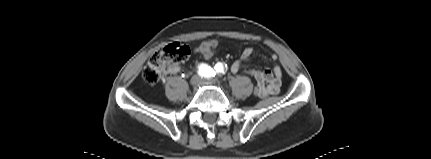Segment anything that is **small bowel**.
I'll use <instances>...</instances> for the list:
<instances>
[{"label": "small bowel", "instance_id": "obj_1", "mask_svg": "<svg viewBox=\"0 0 431 159\" xmlns=\"http://www.w3.org/2000/svg\"><path fill=\"white\" fill-rule=\"evenodd\" d=\"M206 47V48H215L217 49L218 42L216 40H207L199 44L195 47L194 51L197 53L198 47ZM253 49L251 47H248L243 50L241 56L239 59L235 60L231 65V71L233 73H238L241 70H243V65L245 62L249 61L252 57ZM203 55V54H201ZM205 58L209 59L212 56L210 55H203ZM276 57L273 56V59ZM180 70V66L175 65L172 66L168 72L169 73H177ZM244 72L252 76L255 81L256 85L260 87L261 92L260 96L261 98H265L269 95L277 94L281 87V79H282V70L279 66H275L273 69H267V70H256V69H244Z\"/></svg>", "mask_w": 431, "mask_h": 159}]
</instances>
